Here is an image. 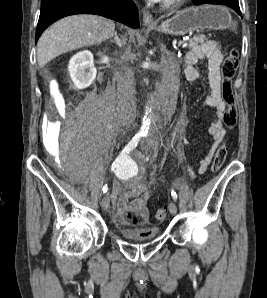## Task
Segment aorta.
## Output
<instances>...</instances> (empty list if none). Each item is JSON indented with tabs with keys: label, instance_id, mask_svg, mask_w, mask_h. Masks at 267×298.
I'll return each mask as SVG.
<instances>
[{
	"label": "aorta",
	"instance_id": "aorta-1",
	"mask_svg": "<svg viewBox=\"0 0 267 298\" xmlns=\"http://www.w3.org/2000/svg\"><path fill=\"white\" fill-rule=\"evenodd\" d=\"M148 112L151 113V108L149 109V107L147 109L146 116L143 119V122L140 128V133H146L149 129V126L151 123V116H148Z\"/></svg>",
	"mask_w": 267,
	"mask_h": 298
}]
</instances>
